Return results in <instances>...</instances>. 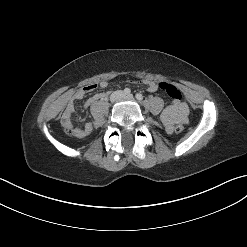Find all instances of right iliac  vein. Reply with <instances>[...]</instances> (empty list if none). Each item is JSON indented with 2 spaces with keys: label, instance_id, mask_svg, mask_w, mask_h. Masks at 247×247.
Here are the masks:
<instances>
[{
  "label": "right iliac vein",
  "instance_id": "obj_1",
  "mask_svg": "<svg viewBox=\"0 0 247 247\" xmlns=\"http://www.w3.org/2000/svg\"><path fill=\"white\" fill-rule=\"evenodd\" d=\"M123 97V93L121 91H116L111 95V101L115 102Z\"/></svg>",
  "mask_w": 247,
  "mask_h": 247
}]
</instances>
